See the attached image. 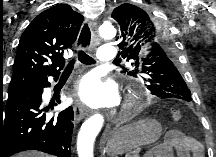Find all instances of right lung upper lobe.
<instances>
[{
	"mask_svg": "<svg viewBox=\"0 0 216 157\" xmlns=\"http://www.w3.org/2000/svg\"><path fill=\"white\" fill-rule=\"evenodd\" d=\"M84 17L67 4L40 13L23 32L14 62L9 92H16L59 73L63 51L72 46Z\"/></svg>",
	"mask_w": 216,
	"mask_h": 157,
	"instance_id": "1",
	"label": "right lung upper lobe"
}]
</instances>
